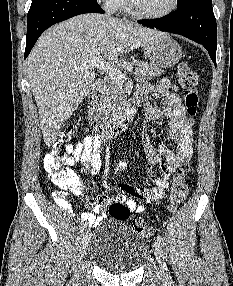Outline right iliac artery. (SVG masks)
<instances>
[{"mask_svg":"<svg viewBox=\"0 0 233 286\" xmlns=\"http://www.w3.org/2000/svg\"><path fill=\"white\" fill-rule=\"evenodd\" d=\"M85 228H86V225H85V224H83V225L80 227V229H79L80 235L84 232Z\"/></svg>","mask_w":233,"mask_h":286,"instance_id":"right-iliac-artery-1","label":"right iliac artery"}]
</instances>
